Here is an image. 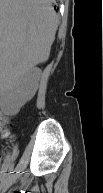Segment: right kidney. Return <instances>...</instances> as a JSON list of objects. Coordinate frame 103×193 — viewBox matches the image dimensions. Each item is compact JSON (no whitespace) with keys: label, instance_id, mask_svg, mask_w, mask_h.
<instances>
[{"label":"right kidney","instance_id":"1","mask_svg":"<svg viewBox=\"0 0 103 193\" xmlns=\"http://www.w3.org/2000/svg\"><path fill=\"white\" fill-rule=\"evenodd\" d=\"M41 70L32 68L24 74L1 83L0 108L7 116L16 115L22 106L35 95Z\"/></svg>","mask_w":103,"mask_h":193}]
</instances>
